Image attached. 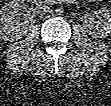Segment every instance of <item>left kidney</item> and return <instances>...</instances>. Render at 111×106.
Listing matches in <instances>:
<instances>
[{
  "label": "left kidney",
  "mask_w": 111,
  "mask_h": 106,
  "mask_svg": "<svg viewBox=\"0 0 111 106\" xmlns=\"http://www.w3.org/2000/svg\"><path fill=\"white\" fill-rule=\"evenodd\" d=\"M99 14L98 20L88 25V29L91 35L104 38L111 34V9L103 7Z\"/></svg>",
  "instance_id": "1"
}]
</instances>
